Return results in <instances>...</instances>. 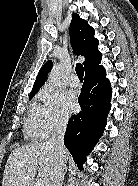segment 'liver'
Wrapping results in <instances>:
<instances>
[{
    "label": "liver",
    "instance_id": "liver-1",
    "mask_svg": "<svg viewBox=\"0 0 138 186\" xmlns=\"http://www.w3.org/2000/svg\"><path fill=\"white\" fill-rule=\"evenodd\" d=\"M65 157H69L67 151ZM54 161V150L45 141L15 148L8 157L2 186H30L35 177L47 186Z\"/></svg>",
    "mask_w": 138,
    "mask_h": 186
}]
</instances>
